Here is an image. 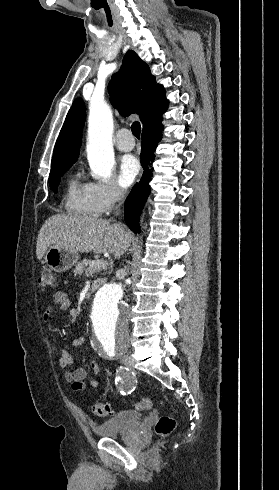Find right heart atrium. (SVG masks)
I'll list each match as a JSON object with an SVG mask.
<instances>
[{
  "instance_id": "right-heart-atrium-1",
  "label": "right heart atrium",
  "mask_w": 279,
  "mask_h": 490,
  "mask_svg": "<svg viewBox=\"0 0 279 490\" xmlns=\"http://www.w3.org/2000/svg\"><path fill=\"white\" fill-rule=\"evenodd\" d=\"M85 187L89 205L96 216L106 215L125 193V189L114 179L89 181Z\"/></svg>"
}]
</instances>
